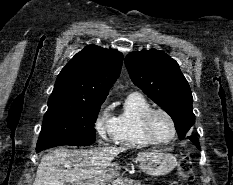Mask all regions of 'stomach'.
<instances>
[{"label":"stomach","mask_w":233,"mask_h":185,"mask_svg":"<svg viewBox=\"0 0 233 185\" xmlns=\"http://www.w3.org/2000/svg\"><path fill=\"white\" fill-rule=\"evenodd\" d=\"M137 161L141 171L153 176L166 175L177 165L176 158L171 153L163 150L140 152ZM117 168V164H113V168L108 169L98 177L76 182L72 185H106L118 176Z\"/></svg>","instance_id":"obj_1"}]
</instances>
